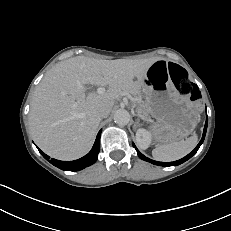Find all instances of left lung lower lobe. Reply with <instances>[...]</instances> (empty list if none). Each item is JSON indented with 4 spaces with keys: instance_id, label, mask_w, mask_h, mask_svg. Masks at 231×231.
<instances>
[{
    "instance_id": "obj_1",
    "label": "left lung lower lobe",
    "mask_w": 231,
    "mask_h": 231,
    "mask_svg": "<svg viewBox=\"0 0 231 231\" xmlns=\"http://www.w3.org/2000/svg\"><path fill=\"white\" fill-rule=\"evenodd\" d=\"M206 130H207V118H206V123H205V127H204V130H203V136H202V139L201 141L199 142V144L196 146V148L191 152L189 153L187 156H185L184 158L180 159V160H177V161H174V162H158V161H154V160H151L147 157H145L135 146V144L133 143V147L136 149L137 151V154L138 156L147 161V162H150L152 164H155V165H159V166H177V165H180L182 163H184L185 161H187L188 159H190L196 152L197 150L199 149V147L201 146V144L203 143L204 141V138H205V135H206Z\"/></svg>"
}]
</instances>
